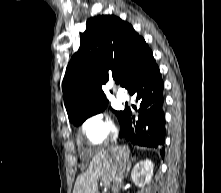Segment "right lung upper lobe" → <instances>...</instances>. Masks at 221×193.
Returning <instances> with one entry per match:
<instances>
[{"mask_svg": "<svg viewBox=\"0 0 221 193\" xmlns=\"http://www.w3.org/2000/svg\"><path fill=\"white\" fill-rule=\"evenodd\" d=\"M80 40L79 51L73 55L62 83L71 122L107 106L102 84L120 79L128 89L133 78L154 60L145 40L114 15L90 18Z\"/></svg>", "mask_w": 221, "mask_h": 193, "instance_id": "right-lung-upper-lobe-1", "label": "right lung upper lobe"}]
</instances>
